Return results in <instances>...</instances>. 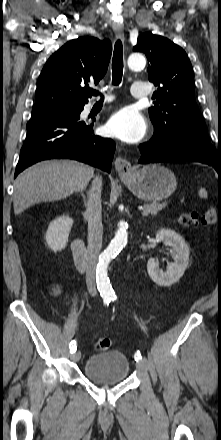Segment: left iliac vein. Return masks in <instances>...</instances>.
I'll return each instance as SVG.
<instances>
[{"mask_svg": "<svg viewBox=\"0 0 221 440\" xmlns=\"http://www.w3.org/2000/svg\"><path fill=\"white\" fill-rule=\"evenodd\" d=\"M136 366L141 371H146V369H147L146 362L144 360H140V361L136 362Z\"/></svg>", "mask_w": 221, "mask_h": 440, "instance_id": "obj_1", "label": "left iliac vein"}]
</instances>
